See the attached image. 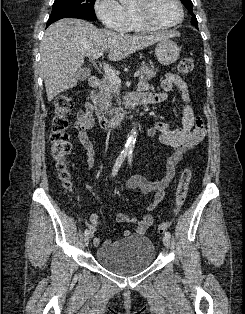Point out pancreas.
Wrapping results in <instances>:
<instances>
[{
	"label": "pancreas",
	"mask_w": 245,
	"mask_h": 314,
	"mask_svg": "<svg viewBox=\"0 0 245 314\" xmlns=\"http://www.w3.org/2000/svg\"><path fill=\"white\" fill-rule=\"evenodd\" d=\"M139 80L149 81L156 76V70L150 68L148 65H142L139 69ZM120 95L119 85L113 84L106 77L99 86L94 102L103 111L104 114L112 116L116 109L113 106L114 102L118 101Z\"/></svg>",
	"instance_id": "obj_1"
}]
</instances>
